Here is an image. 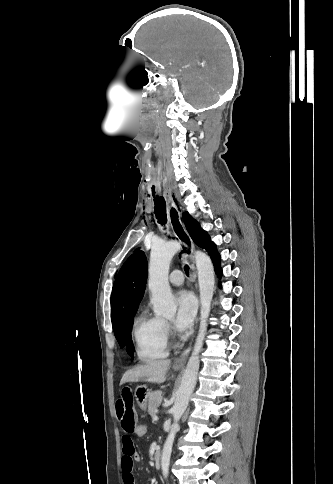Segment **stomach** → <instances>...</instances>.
<instances>
[{
  "label": "stomach",
  "mask_w": 333,
  "mask_h": 484,
  "mask_svg": "<svg viewBox=\"0 0 333 484\" xmlns=\"http://www.w3.org/2000/svg\"><path fill=\"white\" fill-rule=\"evenodd\" d=\"M175 370H179V367H174ZM150 390L147 388L146 385H139L135 389V397L139 404V406L144 410L148 404V398L150 396Z\"/></svg>",
  "instance_id": "1"
}]
</instances>
